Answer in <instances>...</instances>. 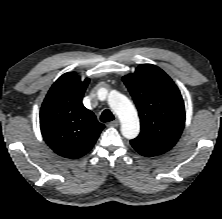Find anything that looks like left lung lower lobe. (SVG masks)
<instances>
[{"mask_svg": "<svg viewBox=\"0 0 222 219\" xmlns=\"http://www.w3.org/2000/svg\"><path fill=\"white\" fill-rule=\"evenodd\" d=\"M131 145L134 147V149L140 153L143 156H156L162 153H165L166 151L161 150V149H157V148H150V147H146L140 144H136L131 142Z\"/></svg>", "mask_w": 222, "mask_h": 219, "instance_id": "obj_1", "label": "left lung lower lobe"}]
</instances>
